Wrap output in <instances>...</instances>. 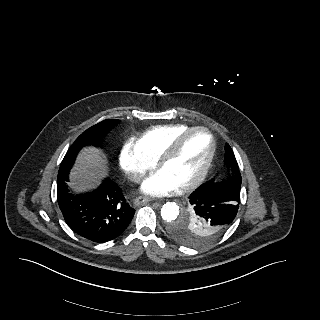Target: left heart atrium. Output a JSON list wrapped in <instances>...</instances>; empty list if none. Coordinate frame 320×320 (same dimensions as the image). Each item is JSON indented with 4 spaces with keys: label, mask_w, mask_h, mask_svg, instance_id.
I'll list each match as a JSON object with an SVG mask.
<instances>
[{
    "label": "left heart atrium",
    "mask_w": 320,
    "mask_h": 320,
    "mask_svg": "<svg viewBox=\"0 0 320 320\" xmlns=\"http://www.w3.org/2000/svg\"><path fill=\"white\" fill-rule=\"evenodd\" d=\"M178 188V185L171 181L161 171L152 174L141 186L142 192L151 196L167 195L176 191Z\"/></svg>",
    "instance_id": "39dd6f15"
}]
</instances>
